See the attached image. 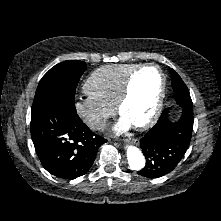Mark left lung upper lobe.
<instances>
[{"instance_id": "1", "label": "left lung upper lobe", "mask_w": 221, "mask_h": 221, "mask_svg": "<svg viewBox=\"0 0 221 221\" xmlns=\"http://www.w3.org/2000/svg\"><path fill=\"white\" fill-rule=\"evenodd\" d=\"M170 77L172 80V88L174 90V99L176 102L192 103L187 86L173 69H170Z\"/></svg>"}]
</instances>
